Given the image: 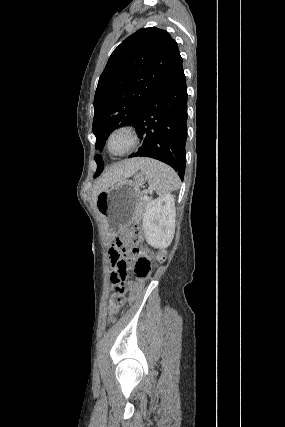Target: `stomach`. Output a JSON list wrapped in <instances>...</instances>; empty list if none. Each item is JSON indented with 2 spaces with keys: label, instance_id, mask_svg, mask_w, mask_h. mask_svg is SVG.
I'll use <instances>...</instances> for the list:
<instances>
[{
  "label": "stomach",
  "instance_id": "obj_1",
  "mask_svg": "<svg viewBox=\"0 0 285 427\" xmlns=\"http://www.w3.org/2000/svg\"><path fill=\"white\" fill-rule=\"evenodd\" d=\"M146 180L142 172L135 173L133 180L124 179L114 183L97 196L96 208L109 236L117 234L138 217L140 187Z\"/></svg>",
  "mask_w": 285,
  "mask_h": 427
}]
</instances>
